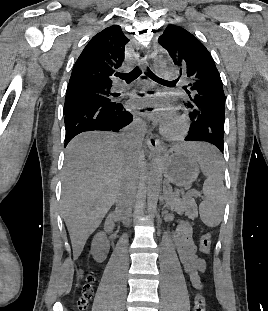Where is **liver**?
I'll return each mask as SVG.
<instances>
[{"label":"liver","instance_id":"1","mask_svg":"<svg viewBox=\"0 0 268 311\" xmlns=\"http://www.w3.org/2000/svg\"><path fill=\"white\" fill-rule=\"evenodd\" d=\"M138 160L135 148L124 135L86 132L68 144L63 168L62 214L74 260L117 200L130 171L136 180Z\"/></svg>","mask_w":268,"mask_h":311}]
</instances>
